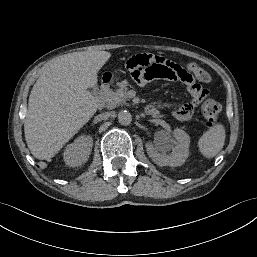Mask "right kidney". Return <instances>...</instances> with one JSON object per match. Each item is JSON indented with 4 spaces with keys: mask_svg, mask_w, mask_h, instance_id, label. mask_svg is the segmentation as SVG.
<instances>
[{
    "mask_svg": "<svg viewBox=\"0 0 257 257\" xmlns=\"http://www.w3.org/2000/svg\"><path fill=\"white\" fill-rule=\"evenodd\" d=\"M93 139L91 136L82 135L69 144L63 153L67 165L77 167L85 163L91 153Z\"/></svg>",
    "mask_w": 257,
    "mask_h": 257,
    "instance_id": "right-kidney-1",
    "label": "right kidney"
}]
</instances>
